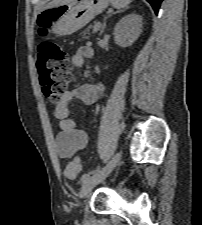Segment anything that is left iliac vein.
<instances>
[{"label":"left iliac vein","mask_w":202,"mask_h":225,"mask_svg":"<svg viewBox=\"0 0 202 225\" xmlns=\"http://www.w3.org/2000/svg\"><path fill=\"white\" fill-rule=\"evenodd\" d=\"M120 159V153H116L112 159L103 167L99 173L94 176H91L88 180H86L81 188V196H86L94 186L98 183L102 182L116 167L117 163Z\"/></svg>","instance_id":"1"}]
</instances>
